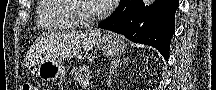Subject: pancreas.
I'll use <instances>...</instances> for the list:
<instances>
[{
    "instance_id": "cf45deb5",
    "label": "pancreas",
    "mask_w": 216,
    "mask_h": 90,
    "mask_svg": "<svg viewBox=\"0 0 216 90\" xmlns=\"http://www.w3.org/2000/svg\"><path fill=\"white\" fill-rule=\"evenodd\" d=\"M71 74L75 80V82H84V80H90L89 70L85 68V66H80V68H73L71 70Z\"/></svg>"
}]
</instances>
